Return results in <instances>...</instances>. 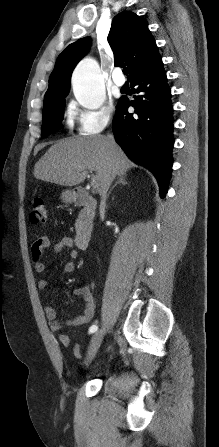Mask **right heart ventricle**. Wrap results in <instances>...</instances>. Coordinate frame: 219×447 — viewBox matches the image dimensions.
<instances>
[{"label": "right heart ventricle", "instance_id": "1", "mask_svg": "<svg viewBox=\"0 0 219 447\" xmlns=\"http://www.w3.org/2000/svg\"><path fill=\"white\" fill-rule=\"evenodd\" d=\"M68 124H71V115H69Z\"/></svg>", "mask_w": 219, "mask_h": 447}]
</instances>
